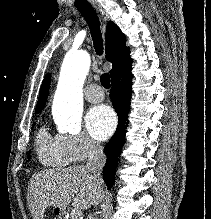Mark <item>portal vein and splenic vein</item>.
<instances>
[{"label":"portal vein and splenic vein","instance_id":"18ae733b","mask_svg":"<svg viewBox=\"0 0 211 219\" xmlns=\"http://www.w3.org/2000/svg\"><path fill=\"white\" fill-rule=\"evenodd\" d=\"M72 216H74L76 219L78 218V216L80 215V212L78 211V209H74L73 211H72V214H71Z\"/></svg>","mask_w":211,"mask_h":219}]
</instances>
